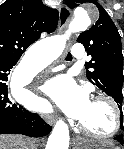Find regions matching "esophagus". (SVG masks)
<instances>
[{
	"mask_svg": "<svg viewBox=\"0 0 124 149\" xmlns=\"http://www.w3.org/2000/svg\"><path fill=\"white\" fill-rule=\"evenodd\" d=\"M71 19V11L70 9L65 5L62 4L59 7V31L62 32L65 30V28L68 26Z\"/></svg>",
	"mask_w": 124,
	"mask_h": 149,
	"instance_id": "esophagus-1",
	"label": "esophagus"
}]
</instances>
